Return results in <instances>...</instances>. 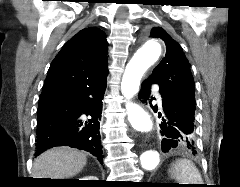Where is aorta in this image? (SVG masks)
Listing matches in <instances>:
<instances>
[{"instance_id":"1","label":"aorta","mask_w":240,"mask_h":187,"mask_svg":"<svg viewBox=\"0 0 240 187\" xmlns=\"http://www.w3.org/2000/svg\"><path fill=\"white\" fill-rule=\"evenodd\" d=\"M161 44L158 40L149 39L134 54L127 64L122 82L121 91L126 99H131L139 91L140 81L147 69L153 65L161 55ZM128 120L132 127L139 132L152 130V120L148 113L136 104L127 102ZM160 162L157 150L149 149L140 155L141 167L144 170L155 169Z\"/></svg>"}]
</instances>
